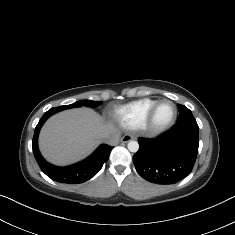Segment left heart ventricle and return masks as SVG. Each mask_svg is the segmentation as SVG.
I'll list each match as a JSON object with an SVG mask.
<instances>
[{
	"label": "left heart ventricle",
	"instance_id": "1",
	"mask_svg": "<svg viewBox=\"0 0 235 235\" xmlns=\"http://www.w3.org/2000/svg\"><path fill=\"white\" fill-rule=\"evenodd\" d=\"M175 114L174 105L171 102H163L157 108L155 114V122L158 126L165 125L168 123Z\"/></svg>",
	"mask_w": 235,
	"mask_h": 235
}]
</instances>
